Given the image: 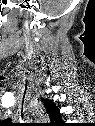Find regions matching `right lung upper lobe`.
Instances as JSON below:
<instances>
[{"mask_svg": "<svg viewBox=\"0 0 95 126\" xmlns=\"http://www.w3.org/2000/svg\"><path fill=\"white\" fill-rule=\"evenodd\" d=\"M42 101H43L44 107L47 111V114L49 115L51 122H53L50 124L54 125V126L63 124V123H61L62 120L60 117L59 109L55 106L53 101H51L49 99H44V98H42Z\"/></svg>", "mask_w": 95, "mask_h": 126, "instance_id": "1", "label": "right lung upper lobe"}]
</instances>
